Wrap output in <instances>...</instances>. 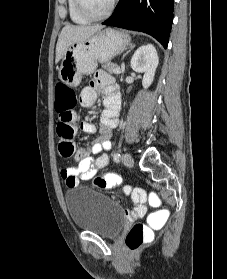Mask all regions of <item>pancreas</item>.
Here are the masks:
<instances>
[{
    "label": "pancreas",
    "instance_id": "obj_1",
    "mask_svg": "<svg viewBox=\"0 0 227 279\" xmlns=\"http://www.w3.org/2000/svg\"><path fill=\"white\" fill-rule=\"evenodd\" d=\"M117 67H118V65L116 63H113V62H110V61L102 64V68L104 70L108 71L111 74H116L114 72V69L117 68Z\"/></svg>",
    "mask_w": 227,
    "mask_h": 279
}]
</instances>
